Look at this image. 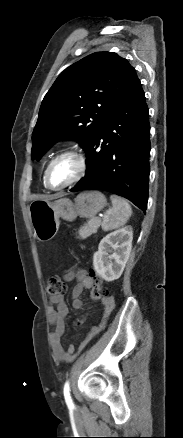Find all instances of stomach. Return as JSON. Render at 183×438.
<instances>
[{
	"mask_svg": "<svg viewBox=\"0 0 183 438\" xmlns=\"http://www.w3.org/2000/svg\"><path fill=\"white\" fill-rule=\"evenodd\" d=\"M106 206L105 196L97 191L80 193L74 203L68 198L54 202L36 199L29 205V217L34 236L41 242L50 241L57 234L60 218L73 221L77 216L93 218Z\"/></svg>",
	"mask_w": 183,
	"mask_h": 438,
	"instance_id": "obj_1",
	"label": "stomach"
}]
</instances>
